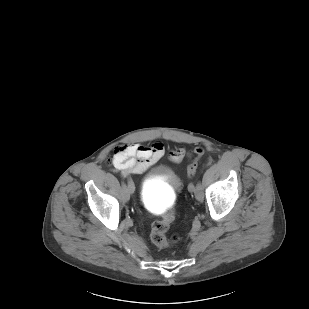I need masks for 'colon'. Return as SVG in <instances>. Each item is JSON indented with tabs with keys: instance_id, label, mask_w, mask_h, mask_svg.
I'll use <instances>...</instances> for the list:
<instances>
[{
	"instance_id": "5ec220e1",
	"label": "colon",
	"mask_w": 309,
	"mask_h": 309,
	"mask_svg": "<svg viewBox=\"0 0 309 309\" xmlns=\"http://www.w3.org/2000/svg\"><path fill=\"white\" fill-rule=\"evenodd\" d=\"M173 153V152H172ZM171 153V155H172ZM204 149L202 147H197L195 149V157L189 163L187 167V176L189 179H192L198 169V161L203 156ZM170 155V158H171ZM127 157V151L124 147H117L114 149L113 154L111 155L110 159L115 162V160H124ZM174 219V213L172 210H168L164 212L162 217L153 222L150 231V237L152 242L159 248H167L174 245L178 239V234H173L170 238L167 236V232L170 228L171 223Z\"/></svg>"
}]
</instances>
